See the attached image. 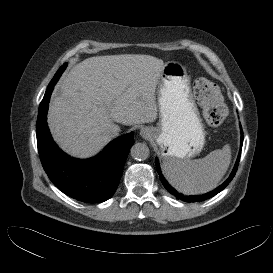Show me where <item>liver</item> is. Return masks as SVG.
<instances>
[{
	"instance_id": "1",
	"label": "liver",
	"mask_w": 273,
	"mask_h": 273,
	"mask_svg": "<svg viewBox=\"0 0 273 273\" xmlns=\"http://www.w3.org/2000/svg\"><path fill=\"white\" fill-rule=\"evenodd\" d=\"M150 55L90 57L76 64L53 96L48 124L55 141L68 154L86 159L97 155L118 125L154 122L155 90L164 69Z\"/></svg>"
}]
</instances>
